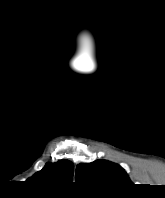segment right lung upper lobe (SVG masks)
<instances>
[{"instance_id": "cb5924a9", "label": "right lung upper lobe", "mask_w": 165, "mask_h": 198, "mask_svg": "<svg viewBox=\"0 0 165 198\" xmlns=\"http://www.w3.org/2000/svg\"><path fill=\"white\" fill-rule=\"evenodd\" d=\"M74 166L68 160H60L57 163H47L45 167L37 172L31 180L44 185L71 183Z\"/></svg>"}]
</instances>
